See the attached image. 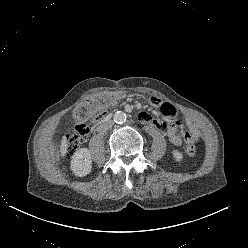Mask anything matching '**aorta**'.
<instances>
[{
	"label": "aorta",
	"mask_w": 248,
	"mask_h": 248,
	"mask_svg": "<svg viewBox=\"0 0 248 248\" xmlns=\"http://www.w3.org/2000/svg\"><path fill=\"white\" fill-rule=\"evenodd\" d=\"M113 120L116 123H123L126 121V114L122 111H117L113 116Z\"/></svg>",
	"instance_id": "aorta-1"
}]
</instances>
